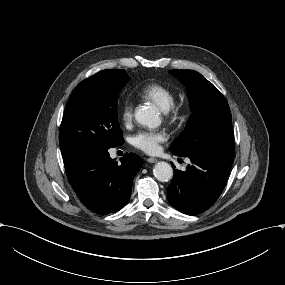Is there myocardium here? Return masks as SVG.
<instances>
[{
    "label": "myocardium",
    "instance_id": "f54148a6",
    "mask_svg": "<svg viewBox=\"0 0 285 285\" xmlns=\"http://www.w3.org/2000/svg\"><path fill=\"white\" fill-rule=\"evenodd\" d=\"M165 115L172 119L179 113V106L175 104L174 102L167 108L163 109Z\"/></svg>",
    "mask_w": 285,
    "mask_h": 285
}]
</instances>
